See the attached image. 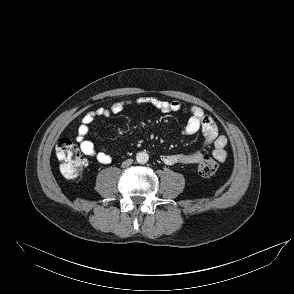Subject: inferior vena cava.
I'll use <instances>...</instances> for the list:
<instances>
[{
	"label": "inferior vena cava",
	"mask_w": 294,
	"mask_h": 294,
	"mask_svg": "<svg viewBox=\"0 0 294 294\" xmlns=\"http://www.w3.org/2000/svg\"><path fill=\"white\" fill-rule=\"evenodd\" d=\"M133 163V160L132 159H127V160H125L123 163H122V167H128V166H130L131 164Z\"/></svg>",
	"instance_id": "1"
}]
</instances>
